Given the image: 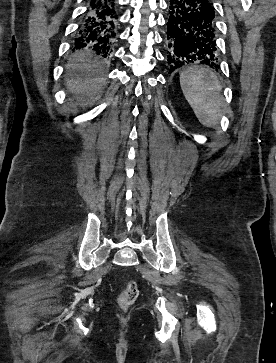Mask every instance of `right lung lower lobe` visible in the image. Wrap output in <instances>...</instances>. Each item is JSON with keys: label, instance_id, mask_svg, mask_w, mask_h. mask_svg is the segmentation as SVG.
<instances>
[{"label": "right lung lower lobe", "instance_id": "1", "mask_svg": "<svg viewBox=\"0 0 276 363\" xmlns=\"http://www.w3.org/2000/svg\"><path fill=\"white\" fill-rule=\"evenodd\" d=\"M118 18L117 0H89L74 38V49L87 47L103 57L112 55Z\"/></svg>", "mask_w": 276, "mask_h": 363}]
</instances>
